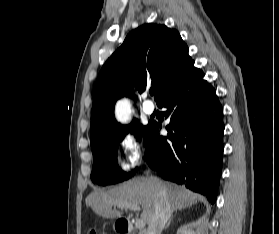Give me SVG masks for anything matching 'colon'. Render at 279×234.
<instances>
[{
    "mask_svg": "<svg viewBox=\"0 0 279 234\" xmlns=\"http://www.w3.org/2000/svg\"><path fill=\"white\" fill-rule=\"evenodd\" d=\"M88 234H98L96 230H90Z\"/></svg>",
    "mask_w": 279,
    "mask_h": 234,
    "instance_id": "obj_1",
    "label": "colon"
}]
</instances>
